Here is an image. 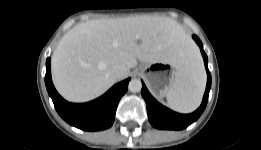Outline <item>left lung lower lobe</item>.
<instances>
[{
    "instance_id": "obj_1",
    "label": "left lung lower lobe",
    "mask_w": 261,
    "mask_h": 150,
    "mask_svg": "<svg viewBox=\"0 0 261 150\" xmlns=\"http://www.w3.org/2000/svg\"><path fill=\"white\" fill-rule=\"evenodd\" d=\"M193 39L199 45L201 49L202 56L204 58V63L207 71V86L206 91L202 100L201 106L191 114H179L171 111L170 109L162 106L158 103L149 93L145 84L142 82V96L146 102L148 118L152 126L157 129H167V130H181L188 127L191 123L196 121L200 115L203 113L207 101L208 95L211 88V74L208 70V58L205 52L203 51V45L199 38L193 35Z\"/></svg>"
}]
</instances>
